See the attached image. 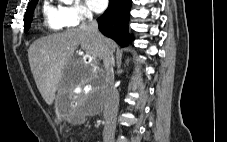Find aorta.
Returning <instances> with one entry per match:
<instances>
[{"instance_id":"aorta-1","label":"aorta","mask_w":227,"mask_h":142,"mask_svg":"<svg viewBox=\"0 0 227 142\" xmlns=\"http://www.w3.org/2000/svg\"><path fill=\"white\" fill-rule=\"evenodd\" d=\"M65 1H67V2H72V0H65Z\"/></svg>"}]
</instances>
